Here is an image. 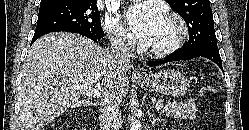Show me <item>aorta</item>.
<instances>
[{"label":"aorta","mask_w":249,"mask_h":130,"mask_svg":"<svg viewBox=\"0 0 249 130\" xmlns=\"http://www.w3.org/2000/svg\"><path fill=\"white\" fill-rule=\"evenodd\" d=\"M141 129V123L138 120H134L130 126V130H140Z\"/></svg>","instance_id":"1"}]
</instances>
